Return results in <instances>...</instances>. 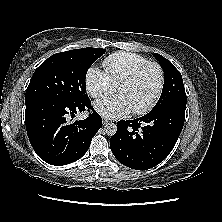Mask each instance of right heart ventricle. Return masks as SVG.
<instances>
[{"instance_id": "right-heart-ventricle-1", "label": "right heart ventricle", "mask_w": 222, "mask_h": 222, "mask_svg": "<svg viewBox=\"0 0 222 222\" xmlns=\"http://www.w3.org/2000/svg\"><path fill=\"white\" fill-rule=\"evenodd\" d=\"M146 62L148 60L141 55L129 52H116L106 57L103 65L113 84L118 86L133 70Z\"/></svg>"}]
</instances>
